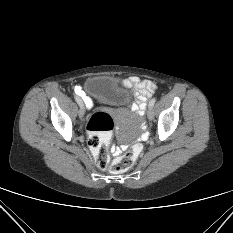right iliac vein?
Listing matches in <instances>:
<instances>
[{"label": "right iliac vein", "mask_w": 233, "mask_h": 233, "mask_svg": "<svg viewBox=\"0 0 233 233\" xmlns=\"http://www.w3.org/2000/svg\"><path fill=\"white\" fill-rule=\"evenodd\" d=\"M77 103H78V105H79V112H78V114H79V117L80 118H83L84 117V114H85V107H84V103H83V101L79 98V97H77Z\"/></svg>", "instance_id": "obj_1"}]
</instances>
